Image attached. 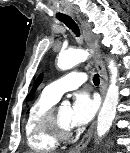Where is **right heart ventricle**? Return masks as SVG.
Segmentation results:
<instances>
[{
	"label": "right heart ventricle",
	"mask_w": 130,
	"mask_h": 153,
	"mask_svg": "<svg viewBox=\"0 0 130 153\" xmlns=\"http://www.w3.org/2000/svg\"><path fill=\"white\" fill-rule=\"evenodd\" d=\"M57 101L44 90L28 112L24 124V135L27 145L35 151L50 152L58 146L59 140L42 125L43 115Z\"/></svg>",
	"instance_id": "obj_1"
}]
</instances>
